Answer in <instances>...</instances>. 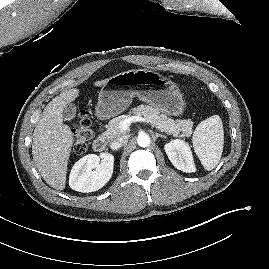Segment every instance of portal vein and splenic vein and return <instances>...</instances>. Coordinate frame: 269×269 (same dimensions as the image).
<instances>
[{
  "instance_id": "1",
  "label": "portal vein and splenic vein",
  "mask_w": 269,
  "mask_h": 269,
  "mask_svg": "<svg viewBox=\"0 0 269 269\" xmlns=\"http://www.w3.org/2000/svg\"><path fill=\"white\" fill-rule=\"evenodd\" d=\"M133 122H148L146 121L143 117L141 116H131L129 118H126L125 120H123L121 123H120V128L124 131L128 130L129 129V126L131 123ZM175 135H178V133H176Z\"/></svg>"
}]
</instances>
